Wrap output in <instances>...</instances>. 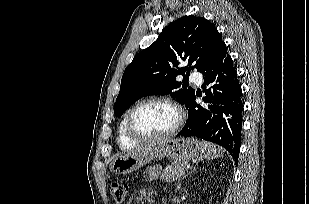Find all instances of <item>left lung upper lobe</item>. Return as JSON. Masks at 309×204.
<instances>
[{"mask_svg":"<svg viewBox=\"0 0 309 204\" xmlns=\"http://www.w3.org/2000/svg\"><path fill=\"white\" fill-rule=\"evenodd\" d=\"M224 47L220 33L204 17L183 16L172 22L126 67L114 104L115 115L121 116L135 101L154 94H170L187 108L195 91L184 84L181 87L176 77L185 71L189 74L190 69L204 72ZM185 62L188 65L183 67Z\"/></svg>","mask_w":309,"mask_h":204,"instance_id":"1","label":"left lung upper lobe"}]
</instances>
